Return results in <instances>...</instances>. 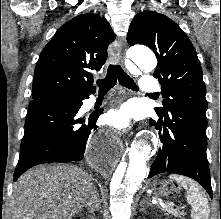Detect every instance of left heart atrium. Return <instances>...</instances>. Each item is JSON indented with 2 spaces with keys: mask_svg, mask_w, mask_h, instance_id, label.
Returning <instances> with one entry per match:
<instances>
[{
  "mask_svg": "<svg viewBox=\"0 0 221 219\" xmlns=\"http://www.w3.org/2000/svg\"><path fill=\"white\" fill-rule=\"evenodd\" d=\"M132 111L128 106L112 109L107 113V123L116 129H125L131 122Z\"/></svg>",
  "mask_w": 221,
  "mask_h": 219,
  "instance_id": "obj_1",
  "label": "left heart atrium"
}]
</instances>
